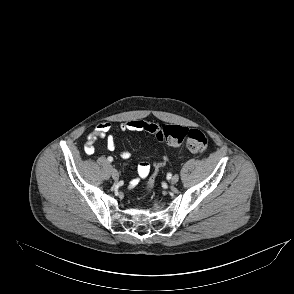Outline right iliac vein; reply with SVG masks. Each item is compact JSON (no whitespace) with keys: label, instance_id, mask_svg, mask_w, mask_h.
Returning <instances> with one entry per match:
<instances>
[{"label":"right iliac vein","instance_id":"63e3f726","mask_svg":"<svg viewBox=\"0 0 294 294\" xmlns=\"http://www.w3.org/2000/svg\"><path fill=\"white\" fill-rule=\"evenodd\" d=\"M111 175H112L113 180H115V181L119 180V173L116 169L111 170Z\"/></svg>","mask_w":294,"mask_h":294}]
</instances>
